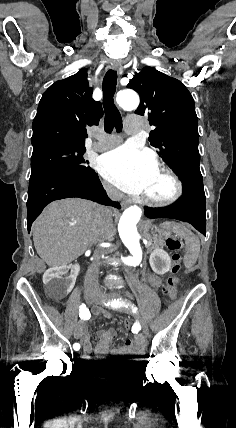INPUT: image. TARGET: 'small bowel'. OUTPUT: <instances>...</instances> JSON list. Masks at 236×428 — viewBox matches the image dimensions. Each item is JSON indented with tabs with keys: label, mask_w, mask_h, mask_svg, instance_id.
Listing matches in <instances>:
<instances>
[{
	"label": "small bowel",
	"mask_w": 236,
	"mask_h": 428,
	"mask_svg": "<svg viewBox=\"0 0 236 428\" xmlns=\"http://www.w3.org/2000/svg\"><path fill=\"white\" fill-rule=\"evenodd\" d=\"M149 282L154 288H158L161 285V279L156 275H150ZM102 315L106 319L112 318V314L109 312H103ZM75 335L83 342L84 358L89 359L92 354V344L87 327L84 323H78L76 325ZM114 336L115 332L113 329L99 331L95 353L100 356L110 353L113 356L126 357L132 360H137L143 355L145 349V338L142 335H137L132 339H127L121 347L109 350V344L113 340Z\"/></svg>",
	"instance_id": "c3829d8e"
}]
</instances>
